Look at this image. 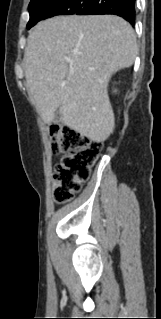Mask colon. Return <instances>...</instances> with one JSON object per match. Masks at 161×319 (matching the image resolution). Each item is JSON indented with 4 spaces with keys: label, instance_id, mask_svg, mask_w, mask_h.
Wrapping results in <instances>:
<instances>
[{
    "label": "colon",
    "instance_id": "1",
    "mask_svg": "<svg viewBox=\"0 0 161 319\" xmlns=\"http://www.w3.org/2000/svg\"><path fill=\"white\" fill-rule=\"evenodd\" d=\"M49 135L52 150L64 154L54 169V199L58 203H66L88 180L102 144L60 125H51Z\"/></svg>",
    "mask_w": 161,
    "mask_h": 319
}]
</instances>
